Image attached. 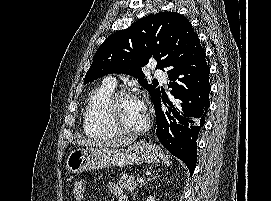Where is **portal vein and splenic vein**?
Wrapping results in <instances>:
<instances>
[{
	"label": "portal vein and splenic vein",
	"instance_id": "1",
	"mask_svg": "<svg viewBox=\"0 0 271 201\" xmlns=\"http://www.w3.org/2000/svg\"><path fill=\"white\" fill-rule=\"evenodd\" d=\"M137 182H139V183H141V182H143L144 181V179L143 178H137V180H136Z\"/></svg>",
	"mask_w": 271,
	"mask_h": 201
}]
</instances>
